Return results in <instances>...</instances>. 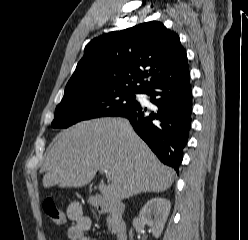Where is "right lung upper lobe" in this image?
Here are the masks:
<instances>
[{
  "label": "right lung upper lobe",
  "instance_id": "cb5924a9",
  "mask_svg": "<svg viewBox=\"0 0 248 240\" xmlns=\"http://www.w3.org/2000/svg\"><path fill=\"white\" fill-rule=\"evenodd\" d=\"M188 69L179 36L163 23L150 21L90 41L65 90L104 88L144 93Z\"/></svg>",
  "mask_w": 248,
  "mask_h": 240
}]
</instances>
